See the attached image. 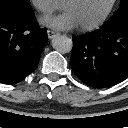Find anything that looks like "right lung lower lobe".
Listing matches in <instances>:
<instances>
[{
	"mask_svg": "<svg viewBox=\"0 0 128 128\" xmlns=\"http://www.w3.org/2000/svg\"><path fill=\"white\" fill-rule=\"evenodd\" d=\"M46 40L33 11L0 12V82L15 84L33 72Z\"/></svg>",
	"mask_w": 128,
	"mask_h": 128,
	"instance_id": "right-lung-lower-lobe-1",
	"label": "right lung lower lobe"
}]
</instances>
